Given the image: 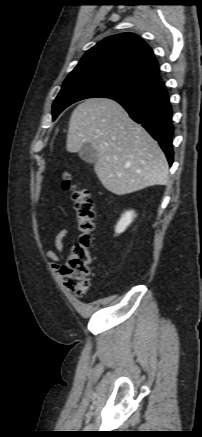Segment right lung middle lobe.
<instances>
[{
    "mask_svg": "<svg viewBox=\"0 0 202 437\" xmlns=\"http://www.w3.org/2000/svg\"><path fill=\"white\" fill-rule=\"evenodd\" d=\"M153 84L131 78L125 74L85 70L71 72L53 103V120L69 105L86 98L115 99L133 96L148 90Z\"/></svg>",
    "mask_w": 202,
    "mask_h": 437,
    "instance_id": "dd1d6c3e",
    "label": "right lung middle lobe"
}]
</instances>
